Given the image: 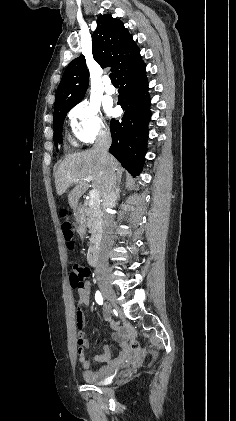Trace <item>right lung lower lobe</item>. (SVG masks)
<instances>
[{
  "label": "right lung lower lobe",
  "instance_id": "98d812e1",
  "mask_svg": "<svg viewBox=\"0 0 236 421\" xmlns=\"http://www.w3.org/2000/svg\"><path fill=\"white\" fill-rule=\"evenodd\" d=\"M146 65L141 56L122 68L116 75L119 84L118 105L125 111L121 120L112 119L110 131L112 145L109 152L133 176L141 173L147 151L150 119V99L145 76Z\"/></svg>",
  "mask_w": 236,
  "mask_h": 421
}]
</instances>
